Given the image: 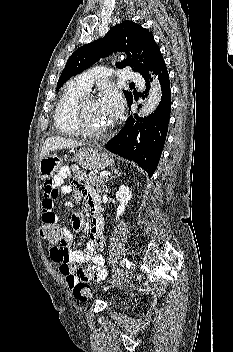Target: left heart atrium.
Returning <instances> with one entry per match:
<instances>
[{"instance_id": "obj_1", "label": "left heart atrium", "mask_w": 233, "mask_h": 352, "mask_svg": "<svg viewBox=\"0 0 233 352\" xmlns=\"http://www.w3.org/2000/svg\"><path fill=\"white\" fill-rule=\"evenodd\" d=\"M97 102L108 124L112 123L122 111V98L114 89H106Z\"/></svg>"}]
</instances>
